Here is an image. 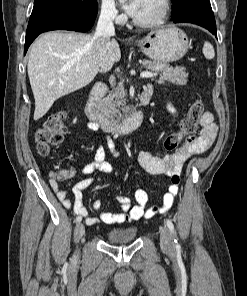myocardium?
Here are the masks:
<instances>
[{"mask_svg": "<svg viewBox=\"0 0 247 296\" xmlns=\"http://www.w3.org/2000/svg\"><path fill=\"white\" fill-rule=\"evenodd\" d=\"M160 5V12L154 19L143 22L133 18V24L140 28H155L163 24L170 13L171 2L170 0H160Z\"/></svg>", "mask_w": 247, "mask_h": 296, "instance_id": "1", "label": "myocardium"}]
</instances>
